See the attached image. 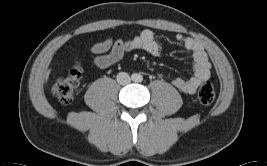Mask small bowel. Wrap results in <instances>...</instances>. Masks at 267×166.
<instances>
[{
	"label": "small bowel",
	"instance_id": "obj_1",
	"mask_svg": "<svg viewBox=\"0 0 267 166\" xmlns=\"http://www.w3.org/2000/svg\"><path fill=\"white\" fill-rule=\"evenodd\" d=\"M175 40L183 43L185 48L191 52L193 56V73L186 79L175 78L172 84L184 93L193 94L201 82L209 77L210 64L201 44L195 39L185 37L183 34H176ZM134 50H143L153 56H160L163 52V46L155 40L151 30L145 29L127 40L107 38L90 47L93 61L99 68H108L118 63L126 52Z\"/></svg>",
	"mask_w": 267,
	"mask_h": 166
}]
</instances>
